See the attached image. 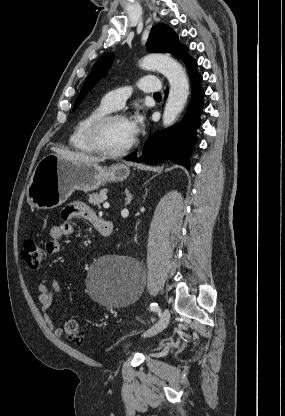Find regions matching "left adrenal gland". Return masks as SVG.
I'll return each instance as SVG.
<instances>
[{
  "label": "left adrenal gland",
  "mask_w": 285,
  "mask_h": 416,
  "mask_svg": "<svg viewBox=\"0 0 285 416\" xmlns=\"http://www.w3.org/2000/svg\"><path fill=\"white\" fill-rule=\"evenodd\" d=\"M125 196H126V198H125V206H127V204H130V202H131V200L133 198V196H131L130 192H128L127 188L125 190Z\"/></svg>",
  "instance_id": "obj_1"
}]
</instances>
